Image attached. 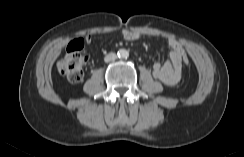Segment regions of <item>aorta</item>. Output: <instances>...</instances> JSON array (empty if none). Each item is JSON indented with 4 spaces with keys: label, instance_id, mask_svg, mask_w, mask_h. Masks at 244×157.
Listing matches in <instances>:
<instances>
[{
    "label": "aorta",
    "instance_id": "aorta-1",
    "mask_svg": "<svg viewBox=\"0 0 244 157\" xmlns=\"http://www.w3.org/2000/svg\"><path fill=\"white\" fill-rule=\"evenodd\" d=\"M119 54H120L121 57H127L128 56V51L120 50Z\"/></svg>",
    "mask_w": 244,
    "mask_h": 157
}]
</instances>
